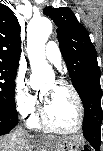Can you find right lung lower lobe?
<instances>
[{
	"label": "right lung lower lobe",
	"mask_w": 103,
	"mask_h": 151,
	"mask_svg": "<svg viewBox=\"0 0 103 151\" xmlns=\"http://www.w3.org/2000/svg\"><path fill=\"white\" fill-rule=\"evenodd\" d=\"M18 123L17 116L0 109V135L11 131Z\"/></svg>",
	"instance_id": "98d812e1"
}]
</instances>
